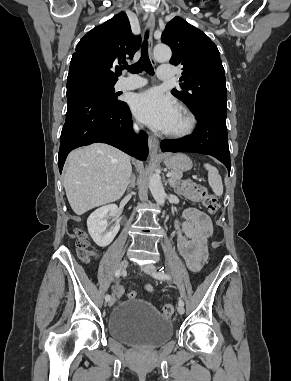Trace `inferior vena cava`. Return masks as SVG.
Segmentation results:
<instances>
[{
	"instance_id": "1",
	"label": "inferior vena cava",
	"mask_w": 291,
	"mask_h": 381,
	"mask_svg": "<svg viewBox=\"0 0 291 381\" xmlns=\"http://www.w3.org/2000/svg\"><path fill=\"white\" fill-rule=\"evenodd\" d=\"M134 130H135V131H138V130H139V128H138L137 125H134Z\"/></svg>"
}]
</instances>
